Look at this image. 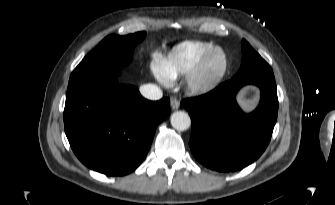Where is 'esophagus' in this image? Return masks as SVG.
<instances>
[{"mask_svg": "<svg viewBox=\"0 0 335 205\" xmlns=\"http://www.w3.org/2000/svg\"><path fill=\"white\" fill-rule=\"evenodd\" d=\"M171 107L173 110H177L180 107L179 101L174 97L171 98Z\"/></svg>", "mask_w": 335, "mask_h": 205, "instance_id": "obj_1", "label": "esophagus"}]
</instances>
